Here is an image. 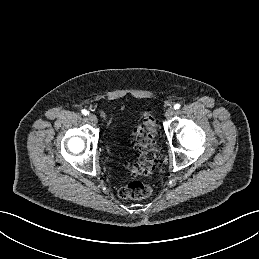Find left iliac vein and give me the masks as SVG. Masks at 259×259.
Segmentation results:
<instances>
[{"label":"left iliac vein","mask_w":259,"mask_h":259,"mask_svg":"<svg viewBox=\"0 0 259 259\" xmlns=\"http://www.w3.org/2000/svg\"><path fill=\"white\" fill-rule=\"evenodd\" d=\"M174 114V109L172 107H169L166 112H165V116L166 118H171Z\"/></svg>","instance_id":"4c4485c4"}]
</instances>
